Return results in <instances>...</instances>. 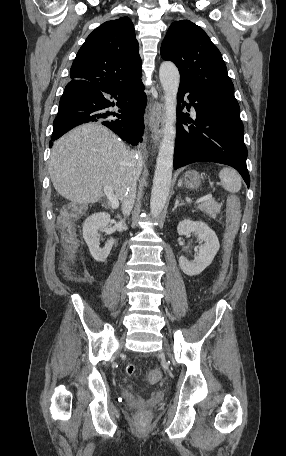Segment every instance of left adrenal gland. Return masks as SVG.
<instances>
[{
	"label": "left adrenal gland",
	"mask_w": 286,
	"mask_h": 456,
	"mask_svg": "<svg viewBox=\"0 0 286 456\" xmlns=\"http://www.w3.org/2000/svg\"><path fill=\"white\" fill-rule=\"evenodd\" d=\"M179 200H180V198H179V199H178V198L176 199L175 205H174V208L172 209V211H174L175 209H177V207H179V206H181V205H184V202L181 201V203H180Z\"/></svg>",
	"instance_id": "a2214340"
}]
</instances>
